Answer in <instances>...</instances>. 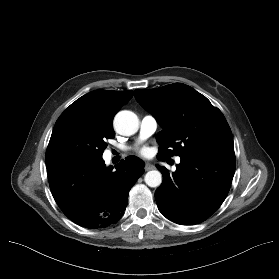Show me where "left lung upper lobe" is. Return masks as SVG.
<instances>
[{"label":"left lung upper lobe","mask_w":279,"mask_h":279,"mask_svg":"<svg viewBox=\"0 0 279 279\" xmlns=\"http://www.w3.org/2000/svg\"><path fill=\"white\" fill-rule=\"evenodd\" d=\"M135 98L163 128L156 136L160 145L157 157L235 154L224 115L192 87L174 83L157 89H136Z\"/></svg>","instance_id":"1"}]
</instances>
